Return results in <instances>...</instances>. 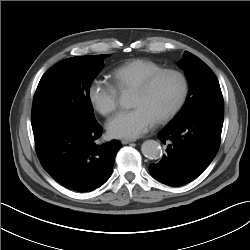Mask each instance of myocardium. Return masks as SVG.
I'll list each match as a JSON object with an SVG mask.
<instances>
[{"label":"myocardium","instance_id":"1","mask_svg":"<svg viewBox=\"0 0 250 250\" xmlns=\"http://www.w3.org/2000/svg\"><path fill=\"white\" fill-rule=\"evenodd\" d=\"M164 75H173L176 76L181 83V91L180 94L174 103V105L165 112L162 116H160L156 122L158 124H163L171 120L183 107L189 92V83L186 75L177 69L165 68L160 69L151 75L147 76L135 89V92L145 94L149 91L152 85L162 76Z\"/></svg>","mask_w":250,"mask_h":250}]
</instances>
